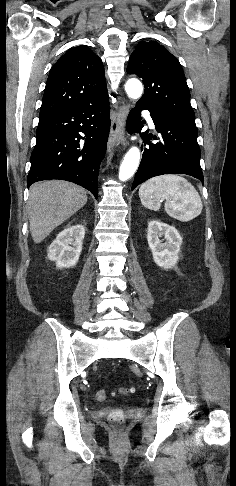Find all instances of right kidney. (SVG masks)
<instances>
[{"label":"right kidney","instance_id":"ca27d5eb","mask_svg":"<svg viewBox=\"0 0 236 486\" xmlns=\"http://www.w3.org/2000/svg\"><path fill=\"white\" fill-rule=\"evenodd\" d=\"M85 235L83 225H74L61 231L48 249V259L57 268H70L77 264Z\"/></svg>","mask_w":236,"mask_h":486}]
</instances>
